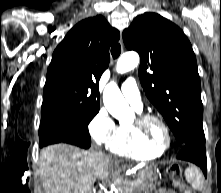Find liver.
Instances as JSON below:
<instances>
[{
  "instance_id": "obj_1",
  "label": "liver",
  "mask_w": 221,
  "mask_h": 193,
  "mask_svg": "<svg viewBox=\"0 0 221 193\" xmlns=\"http://www.w3.org/2000/svg\"><path fill=\"white\" fill-rule=\"evenodd\" d=\"M118 160L102 150L55 144L40 152L39 167L45 193H92L97 178L113 173Z\"/></svg>"
}]
</instances>
